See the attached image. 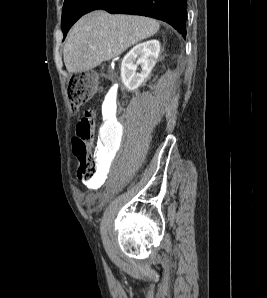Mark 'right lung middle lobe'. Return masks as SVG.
<instances>
[{"label": "right lung middle lobe", "instance_id": "obj_1", "mask_svg": "<svg viewBox=\"0 0 267 298\" xmlns=\"http://www.w3.org/2000/svg\"><path fill=\"white\" fill-rule=\"evenodd\" d=\"M97 0H65L62 10V30L66 36L70 27L84 14L90 12Z\"/></svg>", "mask_w": 267, "mask_h": 298}]
</instances>
